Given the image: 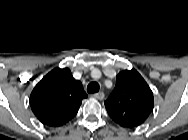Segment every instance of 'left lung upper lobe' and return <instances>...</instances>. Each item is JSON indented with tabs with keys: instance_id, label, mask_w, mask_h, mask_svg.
I'll use <instances>...</instances> for the list:
<instances>
[{
	"instance_id": "left-lung-upper-lobe-1",
	"label": "left lung upper lobe",
	"mask_w": 188,
	"mask_h": 140,
	"mask_svg": "<svg viewBox=\"0 0 188 140\" xmlns=\"http://www.w3.org/2000/svg\"><path fill=\"white\" fill-rule=\"evenodd\" d=\"M109 116L120 126L134 128L145 122L153 110V93L134 69L116 77V86L104 102Z\"/></svg>"
}]
</instances>
